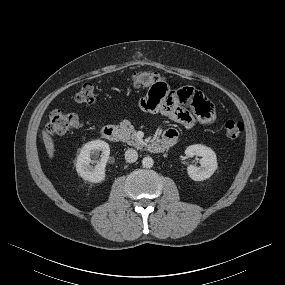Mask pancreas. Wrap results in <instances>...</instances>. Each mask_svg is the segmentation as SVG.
<instances>
[{
	"mask_svg": "<svg viewBox=\"0 0 285 285\" xmlns=\"http://www.w3.org/2000/svg\"><path fill=\"white\" fill-rule=\"evenodd\" d=\"M120 130L123 134V141L126 142L128 145L140 148L143 146V142L139 141L136 137V131L134 127L131 125L130 122H122L120 124Z\"/></svg>",
	"mask_w": 285,
	"mask_h": 285,
	"instance_id": "cf45deb5",
	"label": "pancreas"
}]
</instances>
